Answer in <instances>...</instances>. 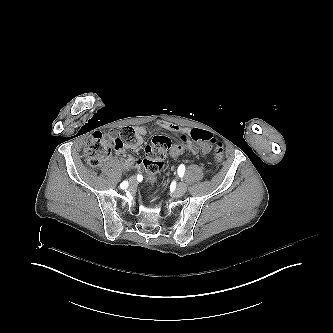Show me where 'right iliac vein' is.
<instances>
[{"label":"right iliac vein","mask_w":333,"mask_h":333,"mask_svg":"<svg viewBox=\"0 0 333 333\" xmlns=\"http://www.w3.org/2000/svg\"><path fill=\"white\" fill-rule=\"evenodd\" d=\"M129 181H130V182H134V181H135V178H134V177H130Z\"/></svg>","instance_id":"63e3f726"}]
</instances>
